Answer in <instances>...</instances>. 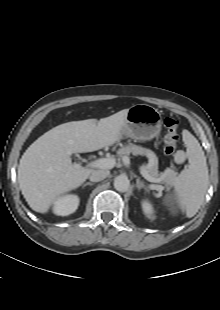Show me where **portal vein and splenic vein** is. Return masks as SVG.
<instances>
[{"label":"portal vein and splenic vein","mask_w":220,"mask_h":310,"mask_svg":"<svg viewBox=\"0 0 220 310\" xmlns=\"http://www.w3.org/2000/svg\"><path fill=\"white\" fill-rule=\"evenodd\" d=\"M114 158H100L92 161L89 166L99 169H112L115 166ZM141 175L149 182L159 183L161 178L152 177L143 167L140 168ZM152 189L159 190L161 186H153Z\"/></svg>","instance_id":"obj_1"}]
</instances>
